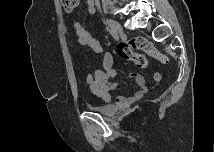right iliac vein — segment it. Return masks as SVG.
Segmentation results:
<instances>
[{
	"label": "right iliac vein",
	"mask_w": 215,
	"mask_h": 152,
	"mask_svg": "<svg viewBox=\"0 0 215 152\" xmlns=\"http://www.w3.org/2000/svg\"><path fill=\"white\" fill-rule=\"evenodd\" d=\"M104 21L111 28V30L115 32L117 35L123 34V29L117 21L108 19V18H106Z\"/></svg>",
	"instance_id": "1"
}]
</instances>
